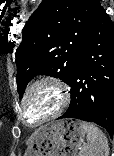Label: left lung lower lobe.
<instances>
[{
  "mask_svg": "<svg viewBox=\"0 0 114 156\" xmlns=\"http://www.w3.org/2000/svg\"><path fill=\"white\" fill-rule=\"evenodd\" d=\"M71 103L58 119L76 118L114 133V25L103 7L80 48L72 79Z\"/></svg>",
  "mask_w": 114,
  "mask_h": 156,
  "instance_id": "obj_1",
  "label": "left lung lower lobe"
}]
</instances>
